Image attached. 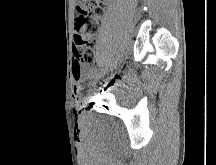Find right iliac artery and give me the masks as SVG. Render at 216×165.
<instances>
[{
  "instance_id": "82829eb1",
  "label": "right iliac artery",
  "mask_w": 216,
  "mask_h": 165,
  "mask_svg": "<svg viewBox=\"0 0 216 165\" xmlns=\"http://www.w3.org/2000/svg\"><path fill=\"white\" fill-rule=\"evenodd\" d=\"M99 69L96 67L92 72H91V77H93V75L96 74V72L98 71Z\"/></svg>"
}]
</instances>
